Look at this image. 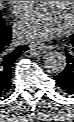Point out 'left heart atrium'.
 <instances>
[{"instance_id": "1", "label": "left heart atrium", "mask_w": 74, "mask_h": 122, "mask_svg": "<svg viewBox=\"0 0 74 122\" xmlns=\"http://www.w3.org/2000/svg\"><path fill=\"white\" fill-rule=\"evenodd\" d=\"M68 26L65 21L51 5L42 6L28 10L21 15L16 22V35L23 41L47 40L62 34Z\"/></svg>"}]
</instances>
